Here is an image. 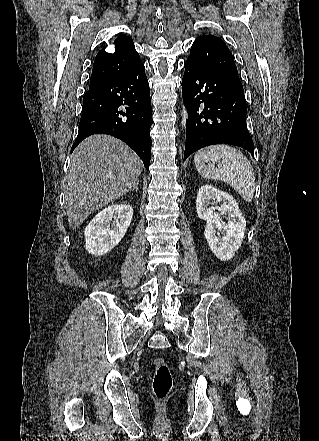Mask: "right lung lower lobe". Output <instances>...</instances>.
I'll list each match as a JSON object with an SVG mask.
<instances>
[{
  "instance_id": "right-lung-lower-lobe-1",
  "label": "right lung lower lobe",
  "mask_w": 319,
  "mask_h": 441,
  "mask_svg": "<svg viewBox=\"0 0 319 441\" xmlns=\"http://www.w3.org/2000/svg\"><path fill=\"white\" fill-rule=\"evenodd\" d=\"M151 101L145 67L140 64L86 92L72 151L86 137L108 134L121 139L143 160L151 158Z\"/></svg>"
}]
</instances>
